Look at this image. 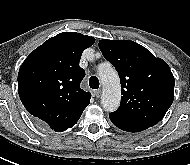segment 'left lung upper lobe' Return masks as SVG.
<instances>
[{"mask_svg": "<svg viewBox=\"0 0 190 165\" xmlns=\"http://www.w3.org/2000/svg\"><path fill=\"white\" fill-rule=\"evenodd\" d=\"M98 45L121 81V103L109 117L144 129L156 125L174 99L175 80L167 63L130 40H100Z\"/></svg>", "mask_w": 190, "mask_h": 165, "instance_id": "obj_1", "label": "left lung upper lobe"}]
</instances>
